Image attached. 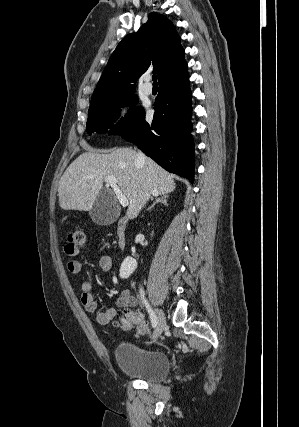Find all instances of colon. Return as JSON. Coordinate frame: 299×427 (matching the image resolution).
<instances>
[{"mask_svg": "<svg viewBox=\"0 0 299 427\" xmlns=\"http://www.w3.org/2000/svg\"><path fill=\"white\" fill-rule=\"evenodd\" d=\"M86 243L87 236L85 230L82 228H77L68 235V242L65 246V253L68 255H75L86 246ZM135 325L136 327L138 325H143L146 330L148 329L143 323L142 318L137 313L127 311L121 315L119 326L122 330L129 331Z\"/></svg>", "mask_w": 299, "mask_h": 427, "instance_id": "colon-1", "label": "colon"}]
</instances>
